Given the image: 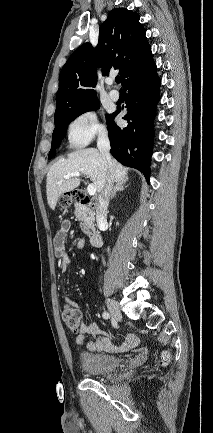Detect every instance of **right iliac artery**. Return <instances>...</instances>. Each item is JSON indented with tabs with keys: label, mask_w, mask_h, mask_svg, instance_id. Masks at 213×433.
Instances as JSON below:
<instances>
[{
	"label": "right iliac artery",
	"mask_w": 213,
	"mask_h": 433,
	"mask_svg": "<svg viewBox=\"0 0 213 433\" xmlns=\"http://www.w3.org/2000/svg\"><path fill=\"white\" fill-rule=\"evenodd\" d=\"M102 316H103L104 319H109L110 318V314L108 312H106V311L103 312Z\"/></svg>",
	"instance_id": "right-iliac-artery-1"
}]
</instances>
